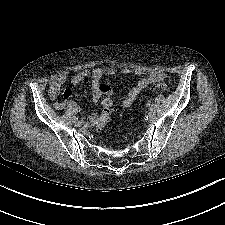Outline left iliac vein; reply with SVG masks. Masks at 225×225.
Masks as SVG:
<instances>
[{
    "instance_id": "obj_1",
    "label": "left iliac vein",
    "mask_w": 225,
    "mask_h": 225,
    "mask_svg": "<svg viewBox=\"0 0 225 225\" xmlns=\"http://www.w3.org/2000/svg\"><path fill=\"white\" fill-rule=\"evenodd\" d=\"M156 115V111L154 108H150L149 111H148V117L149 118H154Z\"/></svg>"
}]
</instances>
